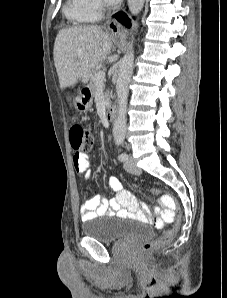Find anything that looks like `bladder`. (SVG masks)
Wrapping results in <instances>:
<instances>
[{
    "label": "bladder",
    "instance_id": "obj_1",
    "mask_svg": "<svg viewBox=\"0 0 227 298\" xmlns=\"http://www.w3.org/2000/svg\"><path fill=\"white\" fill-rule=\"evenodd\" d=\"M84 236L104 243H112L130 238L147 237L153 229L142 222L132 219L88 220L81 226Z\"/></svg>",
    "mask_w": 227,
    "mask_h": 298
}]
</instances>
